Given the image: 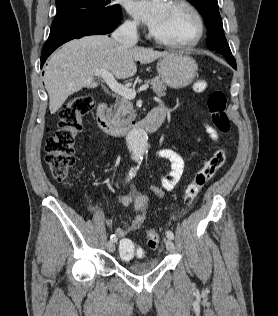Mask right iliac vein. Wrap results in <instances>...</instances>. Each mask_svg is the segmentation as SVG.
Listing matches in <instances>:
<instances>
[{
	"mask_svg": "<svg viewBox=\"0 0 278 316\" xmlns=\"http://www.w3.org/2000/svg\"><path fill=\"white\" fill-rule=\"evenodd\" d=\"M107 249L109 252H113L115 250V243L113 241L108 242Z\"/></svg>",
	"mask_w": 278,
	"mask_h": 316,
	"instance_id": "obj_1",
	"label": "right iliac vein"
}]
</instances>
